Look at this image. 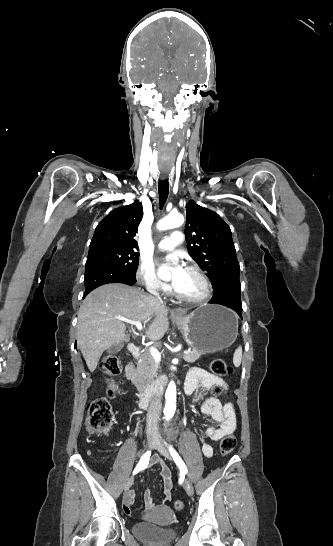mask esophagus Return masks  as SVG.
<instances>
[{
	"instance_id": "1",
	"label": "esophagus",
	"mask_w": 333,
	"mask_h": 546,
	"mask_svg": "<svg viewBox=\"0 0 333 546\" xmlns=\"http://www.w3.org/2000/svg\"><path fill=\"white\" fill-rule=\"evenodd\" d=\"M162 178L165 179L166 178V174H162ZM172 314L175 315V316H178V315H181V312L178 310V309H174L172 311Z\"/></svg>"
}]
</instances>
